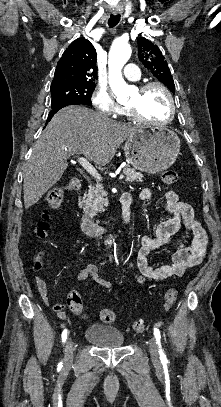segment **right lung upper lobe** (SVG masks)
Here are the masks:
<instances>
[{
	"label": "right lung upper lobe",
	"instance_id": "1",
	"mask_svg": "<svg viewBox=\"0 0 221 407\" xmlns=\"http://www.w3.org/2000/svg\"><path fill=\"white\" fill-rule=\"evenodd\" d=\"M96 58L91 42L84 38L74 40L57 64L51 89L73 83H94L97 78Z\"/></svg>",
	"mask_w": 221,
	"mask_h": 407
}]
</instances>
